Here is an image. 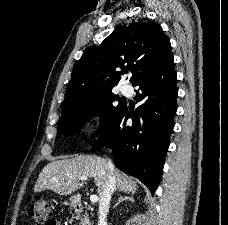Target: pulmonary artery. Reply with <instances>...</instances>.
Wrapping results in <instances>:
<instances>
[{
    "instance_id": "obj_1",
    "label": "pulmonary artery",
    "mask_w": 228,
    "mask_h": 225,
    "mask_svg": "<svg viewBox=\"0 0 228 225\" xmlns=\"http://www.w3.org/2000/svg\"><path fill=\"white\" fill-rule=\"evenodd\" d=\"M121 92L126 95L130 92V88L127 85H124L121 88Z\"/></svg>"
}]
</instances>
